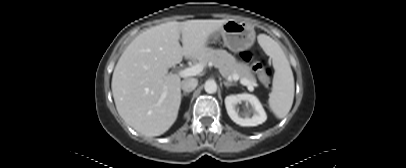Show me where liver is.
I'll return each instance as SVG.
<instances>
[{
  "label": "liver",
  "instance_id": "liver-1",
  "mask_svg": "<svg viewBox=\"0 0 406 168\" xmlns=\"http://www.w3.org/2000/svg\"><path fill=\"white\" fill-rule=\"evenodd\" d=\"M227 21H172L139 34L122 53L112 76V94L121 118L145 136L165 133L176 121L181 104L180 77L168 74V69L183 57H205L211 51L210 36Z\"/></svg>",
  "mask_w": 406,
  "mask_h": 168
}]
</instances>
